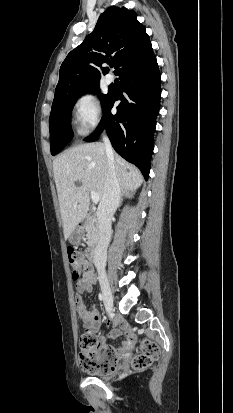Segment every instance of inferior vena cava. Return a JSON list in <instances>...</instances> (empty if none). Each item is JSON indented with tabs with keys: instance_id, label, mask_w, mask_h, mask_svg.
Returning <instances> with one entry per match:
<instances>
[{
	"instance_id": "obj_1",
	"label": "inferior vena cava",
	"mask_w": 233,
	"mask_h": 413,
	"mask_svg": "<svg viewBox=\"0 0 233 413\" xmlns=\"http://www.w3.org/2000/svg\"><path fill=\"white\" fill-rule=\"evenodd\" d=\"M108 172L103 197L97 211L99 240L94 250V264L99 274L105 273L107 247L111 239V219L120 203L121 188L114 166V153L107 136H103Z\"/></svg>"
}]
</instances>
